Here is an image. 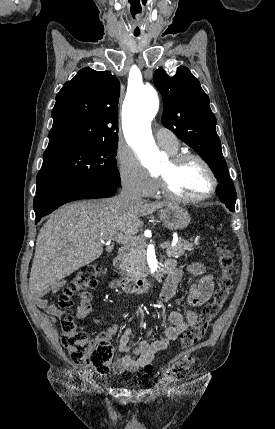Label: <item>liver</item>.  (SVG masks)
I'll list each match as a JSON object with an SVG mask.
<instances>
[{"label":"liver","mask_w":275,"mask_h":429,"mask_svg":"<svg viewBox=\"0 0 275 429\" xmlns=\"http://www.w3.org/2000/svg\"><path fill=\"white\" fill-rule=\"evenodd\" d=\"M173 205L138 201L125 204L118 197L80 201L55 211L40 229L29 288L43 295L49 287L95 261L103 241L116 234L133 236L143 226L140 217Z\"/></svg>","instance_id":"6515ba94"}]
</instances>
